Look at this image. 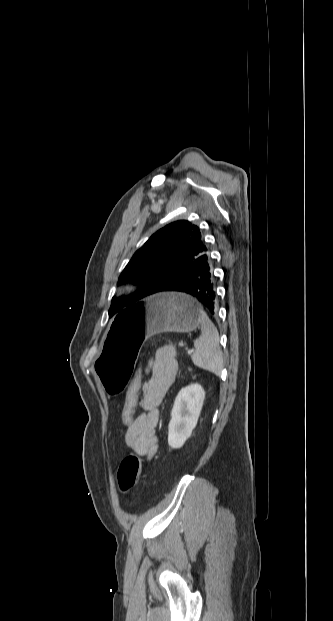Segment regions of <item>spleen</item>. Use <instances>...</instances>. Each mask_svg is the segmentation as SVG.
<instances>
[{"label":"spleen","mask_w":333,"mask_h":621,"mask_svg":"<svg viewBox=\"0 0 333 621\" xmlns=\"http://www.w3.org/2000/svg\"><path fill=\"white\" fill-rule=\"evenodd\" d=\"M192 361L195 366L219 376L223 369V355L219 346V333L207 314L201 321V335L194 341Z\"/></svg>","instance_id":"obj_1"}]
</instances>
